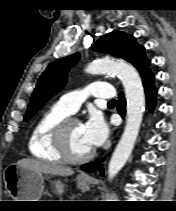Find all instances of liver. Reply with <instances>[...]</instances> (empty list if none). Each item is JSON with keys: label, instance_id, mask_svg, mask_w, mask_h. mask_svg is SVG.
Segmentation results:
<instances>
[{"label": "liver", "instance_id": "6515ba94", "mask_svg": "<svg viewBox=\"0 0 176 211\" xmlns=\"http://www.w3.org/2000/svg\"><path fill=\"white\" fill-rule=\"evenodd\" d=\"M18 166L45 174L59 175V176H71L74 171L66 166L43 162L31 158H24L17 162Z\"/></svg>", "mask_w": 176, "mask_h": 211}]
</instances>
